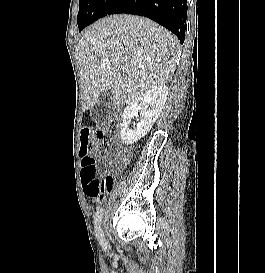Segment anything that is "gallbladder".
I'll return each mask as SVG.
<instances>
[{"label":"gallbladder","mask_w":265,"mask_h":273,"mask_svg":"<svg viewBox=\"0 0 265 273\" xmlns=\"http://www.w3.org/2000/svg\"><path fill=\"white\" fill-rule=\"evenodd\" d=\"M118 111V105L114 103L112 92H104L100 95L92 109V117L98 122H107Z\"/></svg>","instance_id":"obj_1"}]
</instances>
